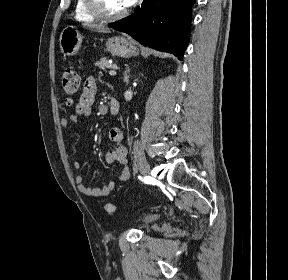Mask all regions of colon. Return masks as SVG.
I'll return each mask as SVG.
<instances>
[{"label": "colon", "instance_id": "obj_1", "mask_svg": "<svg viewBox=\"0 0 288 280\" xmlns=\"http://www.w3.org/2000/svg\"><path fill=\"white\" fill-rule=\"evenodd\" d=\"M80 85V76L73 65H69L65 68L62 75V86L65 94L67 95V102L70 104L73 102V96L78 91ZM105 211L109 214L115 212V206L111 203L105 204Z\"/></svg>", "mask_w": 288, "mask_h": 280}]
</instances>
